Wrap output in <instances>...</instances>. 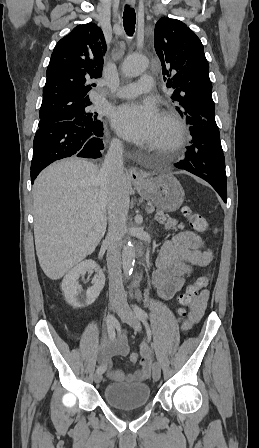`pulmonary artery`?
<instances>
[{"label":"pulmonary artery","instance_id":"e3ab8cb5","mask_svg":"<svg viewBox=\"0 0 259 448\" xmlns=\"http://www.w3.org/2000/svg\"><path fill=\"white\" fill-rule=\"evenodd\" d=\"M136 57V54L130 53L122 61V70L127 76H139L145 71V67L137 63ZM142 77L146 80H152V77L149 75H144ZM98 91L101 92L102 90L99 89ZM144 91L145 90L143 89L133 88V84H126L119 87L117 96L120 98H127L140 94Z\"/></svg>","mask_w":259,"mask_h":448}]
</instances>
